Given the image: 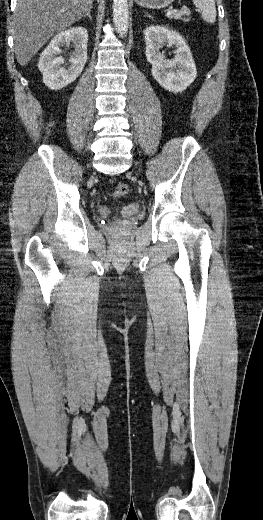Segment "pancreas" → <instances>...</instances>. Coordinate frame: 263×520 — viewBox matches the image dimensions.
Here are the masks:
<instances>
[{"instance_id":"pancreas-1","label":"pancreas","mask_w":263,"mask_h":520,"mask_svg":"<svg viewBox=\"0 0 263 520\" xmlns=\"http://www.w3.org/2000/svg\"><path fill=\"white\" fill-rule=\"evenodd\" d=\"M183 15H186L187 18H183ZM170 18L181 19L184 22L190 21V10L182 9L180 11H174L173 14L170 15Z\"/></svg>"}]
</instances>
